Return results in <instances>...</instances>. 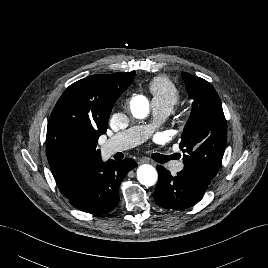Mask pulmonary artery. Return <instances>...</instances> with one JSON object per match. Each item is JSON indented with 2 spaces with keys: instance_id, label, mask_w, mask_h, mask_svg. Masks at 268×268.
<instances>
[{
  "instance_id": "1",
  "label": "pulmonary artery",
  "mask_w": 268,
  "mask_h": 268,
  "mask_svg": "<svg viewBox=\"0 0 268 268\" xmlns=\"http://www.w3.org/2000/svg\"><path fill=\"white\" fill-rule=\"evenodd\" d=\"M152 108L158 121L166 119L171 109L152 101ZM154 130V126H134L111 136L102 149L107 154L123 151L143 142ZM171 170L178 172L183 168L182 162H173Z\"/></svg>"
}]
</instances>
